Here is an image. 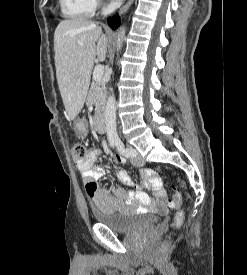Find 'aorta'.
Wrapping results in <instances>:
<instances>
[{
    "mask_svg": "<svg viewBox=\"0 0 247 275\" xmlns=\"http://www.w3.org/2000/svg\"><path fill=\"white\" fill-rule=\"evenodd\" d=\"M124 35H125V29L122 28V29H120V31L118 33L117 52L122 47V43L124 41ZM104 117H105L107 138L110 141L117 140L118 134H117V124H116V99H115L114 94H111L108 97L105 111H104Z\"/></svg>",
    "mask_w": 247,
    "mask_h": 275,
    "instance_id": "obj_1",
    "label": "aorta"
}]
</instances>
